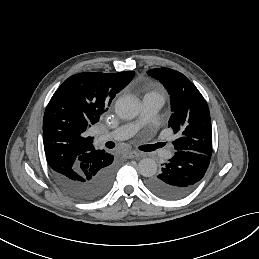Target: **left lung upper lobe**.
<instances>
[{"label": "left lung upper lobe", "mask_w": 259, "mask_h": 259, "mask_svg": "<svg viewBox=\"0 0 259 259\" xmlns=\"http://www.w3.org/2000/svg\"><path fill=\"white\" fill-rule=\"evenodd\" d=\"M159 80L171 99L169 127L180 136L174 149L212 155V128L207 102L195 85L182 73L169 68L148 70Z\"/></svg>", "instance_id": "5c2ea615"}]
</instances>
